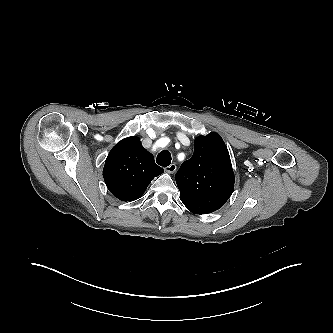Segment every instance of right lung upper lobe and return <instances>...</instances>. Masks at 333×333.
Here are the masks:
<instances>
[{
	"instance_id": "obj_1",
	"label": "right lung upper lobe",
	"mask_w": 333,
	"mask_h": 333,
	"mask_svg": "<svg viewBox=\"0 0 333 333\" xmlns=\"http://www.w3.org/2000/svg\"><path fill=\"white\" fill-rule=\"evenodd\" d=\"M163 172L140 139L132 136L121 140L109 152L103 177L114 196L122 201H134L143 195L152 179Z\"/></svg>"
}]
</instances>
